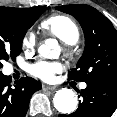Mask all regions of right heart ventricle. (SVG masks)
<instances>
[{"instance_id": "right-heart-ventricle-1", "label": "right heart ventricle", "mask_w": 117, "mask_h": 117, "mask_svg": "<svg viewBox=\"0 0 117 117\" xmlns=\"http://www.w3.org/2000/svg\"><path fill=\"white\" fill-rule=\"evenodd\" d=\"M41 29L48 35L57 37L65 44H75L80 32L75 21L66 15H52L41 22Z\"/></svg>"}]
</instances>
